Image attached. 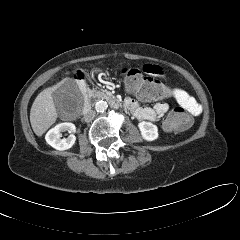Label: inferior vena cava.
Instances as JSON below:
<instances>
[{
    "instance_id": "1",
    "label": "inferior vena cava",
    "mask_w": 240,
    "mask_h": 240,
    "mask_svg": "<svg viewBox=\"0 0 240 240\" xmlns=\"http://www.w3.org/2000/svg\"><path fill=\"white\" fill-rule=\"evenodd\" d=\"M94 117H95V111L89 110L88 112H86L84 114L83 119H84L85 122H90L94 119Z\"/></svg>"
}]
</instances>
